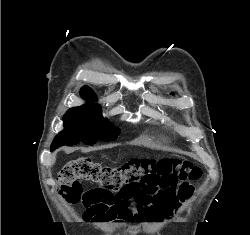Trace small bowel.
Instances as JSON below:
<instances>
[{
    "instance_id": "small-bowel-1",
    "label": "small bowel",
    "mask_w": 250,
    "mask_h": 235,
    "mask_svg": "<svg viewBox=\"0 0 250 235\" xmlns=\"http://www.w3.org/2000/svg\"><path fill=\"white\" fill-rule=\"evenodd\" d=\"M133 202L145 222H160L171 217L182 206L183 199L179 197L176 187L158 189L154 192L139 191Z\"/></svg>"
}]
</instances>
